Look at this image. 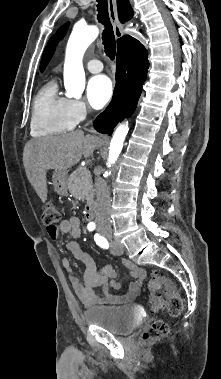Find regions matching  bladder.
Masks as SVG:
<instances>
[{"mask_svg": "<svg viewBox=\"0 0 221 379\" xmlns=\"http://www.w3.org/2000/svg\"><path fill=\"white\" fill-rule=\"evenodd\" d=\"M83 317L88 324L100 326L116 335L129 334L142 320L131 306H97L85 310Z\"/></svg>", "mask_w": 221, "mask_h": 379, "instance_id": "31cf9c89", "label": "bladder"}]
</instances>
